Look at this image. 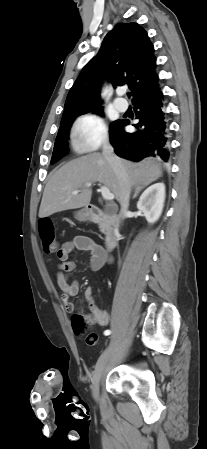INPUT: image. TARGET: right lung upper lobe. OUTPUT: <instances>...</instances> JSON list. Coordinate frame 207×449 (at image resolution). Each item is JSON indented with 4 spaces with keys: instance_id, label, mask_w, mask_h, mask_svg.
<instances>
[{
    "instance_id": "obj_1",
    "label": "right lung upper lobe",
    "mask_w": 207,
    "mask_h": 449,
    "mask_svg": "<svg viewBox=\"0 0 207 449\" xmlns=\"http://www.w3.org/2000/svg\"><path fill=\"white\" fill-rule=\"evenodd\" d=\"M154 48L146 31L136 23H118L101 48L82 69L70 89L62 120L100 110V89L105 77L113 86L128 85L133 101L158 89Z\"/></svg>"
}]
</instances>
